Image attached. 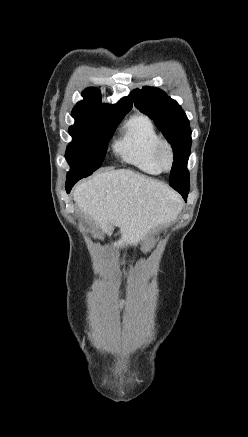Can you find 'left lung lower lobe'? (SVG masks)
Returning a JSON list of instances; mask_svg holds the SVG:
<instances>
[{
	"label": "left lung lower lobe",
	"instance_id": "left-lung-lower-lobe-1",
	"mask_svg": "<svg viewBox=\"0 0 248 437\" xmlns=\"http://www.w3.org/2000/svg\"><path fill=\"white\" fill-rule=\"evenodd\" d=\"M183 198L186 200L188 194H181Z\"/></svg>",
	"mask_w": 248,
	"mask_h": 437
}]
</instances>
